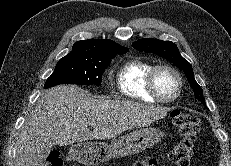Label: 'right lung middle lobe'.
<instances>
[{
    "label": "right lung middle lobe",
    "mask_w": 231,
    "mask_h": 166,
    "mask_svg": "<svg viewBox=\"0 0 231 166\" xmlns=\"http://www.w3.org/2000/svg\"><path fill=\"white\" fill-rule=\"evenodd\" d=\"M123 53H118L122 55ZM117 54L94 58L68 54L60 59L53 74L47 79L44 88L60 84L101 85L102 75Z\"/></svg>",
    "instance_id": "dd1d6c3e"
}]
</instances>
